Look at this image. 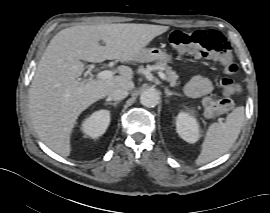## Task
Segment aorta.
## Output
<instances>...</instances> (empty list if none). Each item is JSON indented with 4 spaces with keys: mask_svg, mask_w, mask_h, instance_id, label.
Wrapping results in <instances>:
<instances>
[{
    "mask_svg": "<svg viewBox=\"0 0 270 213\" xmlns=\"http://www.w3.org/2000/svg\"><path fill=\"white\" fill-rule=\"evenodd\" d=\"M160 96L157 90L149 88L140 95V102L145 107H155L159 102Z\"/></svg>",
    "mask_w": 270,
    "mask_h": 213,
    "instance_id": "1",
    "label": "aorta"
}]
</instances>
